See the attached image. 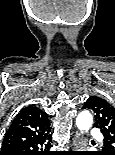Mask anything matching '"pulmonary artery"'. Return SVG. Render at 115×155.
<instances>
[{
	"instance_id": "pulmonary-artery-1",
	"label": "pulmonary artery",
	"mask_w": 115,
	"mask_h": 155,
	"mask_svg": "<svg viewBox=\"0 0 115 155\" xmlns=\"http://www.w3.org/2000/svg\"><path fill=\"white\" fill-rule=\"evenodd\" d=\"M92 135H93L94 137H96V138H100V133L97 132V131H94V132L92 133Z\"/></svg>"
}]
</instances>
